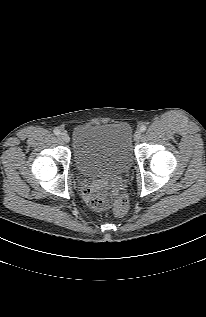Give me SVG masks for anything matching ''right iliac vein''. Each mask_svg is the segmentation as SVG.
<instances>
[{
  "mask_svg": "<svg viewBox=\"0 0 206 317\" xmlns=\"http://www.w3.org/2000/svg\"><path fill=\"white\" fill-rule=\"evenodd\" d=\"M60 138L66 143H68L70 141L69 135L67 133H65V132L61 133Z\"/></svg>",
  "mask_w": 206,
  "mask_h": 317,
  "instance_id": "1",
  "label": "right iliac vein"
}]
</instances>
